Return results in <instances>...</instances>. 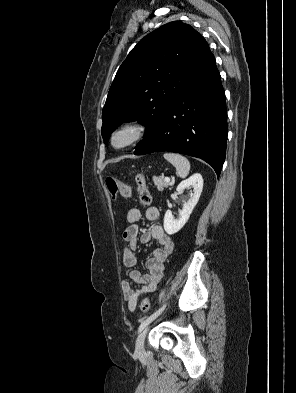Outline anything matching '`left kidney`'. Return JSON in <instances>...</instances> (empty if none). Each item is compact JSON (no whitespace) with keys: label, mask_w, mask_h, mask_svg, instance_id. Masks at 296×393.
<instances>
[{"label":"left kidney","mask_w":296,"mask_h":393,"mask_svg":"<svg viewBox=\"0 0 296 393\" xmlns=\"http://www.w3.org/2000/svg\"><path fill=\"white\" fill-rule=\"evenodd\" d=\"M192 187L193 194L187 201H184L182 210L179 211V218L175 219L170 210H167L164 216V229L167 234L173 235L177 233L188 221L190 214L199 201L202 189L203 178L199 173L193 174L188 179L182 181L176 191L182 193L185 189Z\"/></svg>","instance_id":"left-kidney-1"}]
</instances>
